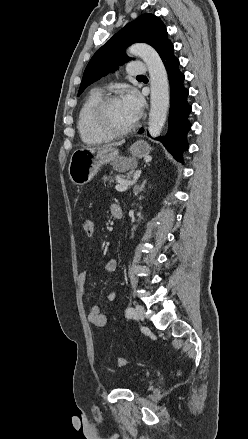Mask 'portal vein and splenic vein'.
Segmentation results:
<instances>
[{"instance_id": "1", "label": "portal vein and splenic vein", "mask_w": 248, "mask_h": 439, "mask_svg": "<svg viewBox=\"0 0 248 439\" xmlns=\"http://www.w3.org/2000/svg\"><path fill=\"white\" fill-rule=\"evenodd\" d=\"M139 176H140V171H137L134 175L133 181H131V182L130 181H121L120 184L115 186V189L118 192L126 191L131 185H133L137 181Z\"/></svg>"}]
</instances>
